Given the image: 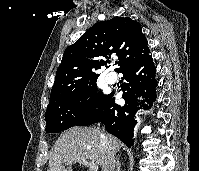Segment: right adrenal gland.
<instances>
[{"mask_svg": "<svg viewBox=\"0 0 199 171\" xmlns=\"http://www.w3.org/2000/svg\"><path fill=\"white\" fill-rule=\"evenodd\" d=\"M116 167H117V170H116V171H120L121 163H120V161H119L118 158H117V161H116Z\"/></svg>", "mask_w": 199, "mask_h": 171, "instance_id": "2a0ac1e0", "label": "right adrenal gland"}]
</instances>
